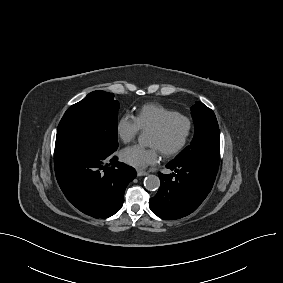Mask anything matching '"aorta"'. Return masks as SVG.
Here are the masks:
<instances>
[{"mask_svg": "<svg viewBox=\"0 0 283 283\" xmlns=\"http://www.w3.org/2000/svg\"><path fill=\"white\" fill-rule=\"evenodd\" d=\"M140 144H145V137L140 135L138 138ZM144 187L149 191H156L160 187V179L156 175H148L144 179Z\"/></svg>", "mask_w": 283, "mask_h": 283, "instance_id": "aorta-1", "label": "aorta"}]
</instances>
